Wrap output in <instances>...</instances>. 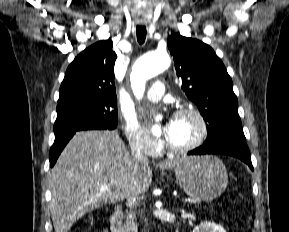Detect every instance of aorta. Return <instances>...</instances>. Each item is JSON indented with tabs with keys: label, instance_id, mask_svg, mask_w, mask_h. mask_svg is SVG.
I'll return each mask as SVG.
<instances>
[{
	"label": "aorta",
	"instance_id": "1",
	"mask_svg": "<svg viewBox=\"0 0 289 232\" xmlns=\"http://www.w3.org/2000/svg\"><path fill=\"white\" fill-rule=\"evenodd\" d=\"M171 60L166 52H149L140 57L133 66L130 76L134 95L140 99L145 91L146 81L160 74L170 66ZM152 131H160L158 125L152 127Z\"/></svg>",
	"mask_w": 289,
	"mask_h": 232
}]
</instances>
